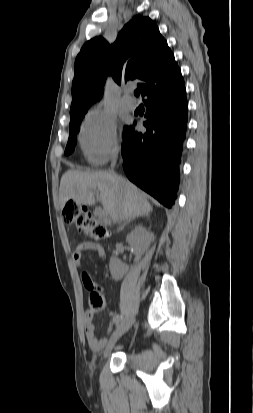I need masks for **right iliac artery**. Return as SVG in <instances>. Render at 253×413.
<instances>
[{"label": "right iliac artery", "mask_w": 253, "mask_h": 413, "mask_svg": "<svg viewBox=\"0 0 253 413\" xmlns=\"http://www.w3.org/2000/svg\"><path fill=\"white\" fill-rule=\"evenodd\" d=\"M122 320H123V317L120 316V315H118V316H116L115 323L118 324V323H120Z\"/></svg>", "instance_id": "1"}]
</instances>
